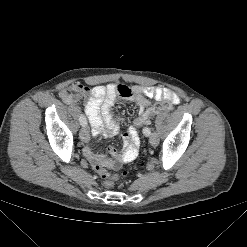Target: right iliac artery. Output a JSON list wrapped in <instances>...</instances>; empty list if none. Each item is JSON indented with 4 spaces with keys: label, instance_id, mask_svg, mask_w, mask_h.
<instances>
[{
    "label": "right iliac artery",
    "instance_id": "obj_1",
    "mask_svg": "<svg viewBox=\"0 0 247 247\" xmlns=\"http://www.w3.org/2000/svg\"><path fill=\"white\" fill-rule=\"evenodd\" d=\"M79 121H80V124L82 126H86L87 125L86 118H85V116L83 114L80 115Z\"/></svg>",
    "mask_w": 247,
    "mask_h": 247
}]
</instances>
